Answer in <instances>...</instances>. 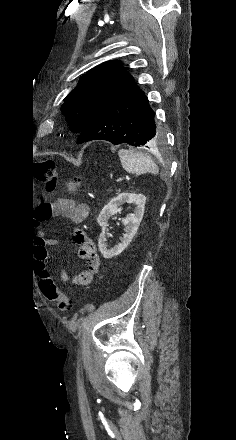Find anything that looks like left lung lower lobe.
Here are the masks:
<instances>
[{"mask_svg":"<svg viewBox=\"0 0 236 440\" xmlns=\"http://www.w3.org/2000/svg\"><path fill=\"white\" fill-rule=\"evenodd\" d=\"M92 140L146 147L157 146L163 141L155 113L137 84L108 103L80 132L77 143Z\"/></svg>","mask_w":236,"mask_h":440,"instance_id":"obj_1","label":"left lung lower lobe"}]
</instances>
